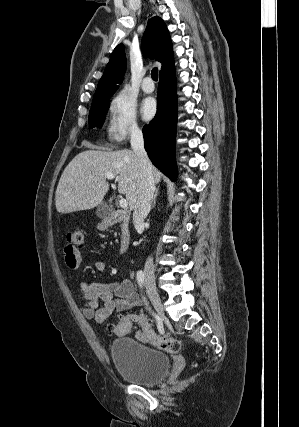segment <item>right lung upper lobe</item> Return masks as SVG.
<instances>
[{
    "label": "right lung upper lobe",
    "instance_id": "cb5924a9",
    "mask_svg": "<svg viewBox=\"0 0 299 427\" xmlns=\"http://www.w3.org/2000/svg\"><path fill=\"white\" fill-rule=\"evenodd\" d=\"M143 52L162 63L160 75L174 70V58L172 42L169 31L164 21L158 17H152L147 25L142 39ZM126 66L125 47L119 44L114 49L110 61L104 70L94 99L111 96L118 88V83L123 80V74Z\"/></svg>",
    "mask_w": 299,
    "mask_h": 427
}]
</instances>
